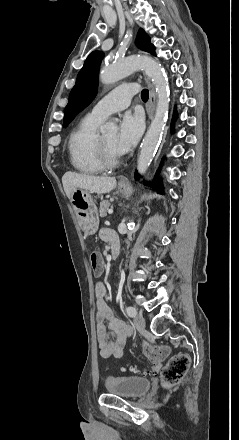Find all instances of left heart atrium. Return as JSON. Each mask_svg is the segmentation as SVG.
<instances>
[{"label":"left heart atrium","instance_id":"1","mask_svg":"<svg viewBox=\"0 0 239 440\" xmlns=\"http://www.w3.org/2000/svg\"><path fill=\"white\" fill-rule=\"evenodd\" d=\"M144 128L143 118L137 113L127 112L120 119L115 136L114 150L117 154H124L134 147Z\"/></svg>","mask_w":239,"mask_h":440}]
</instances>
